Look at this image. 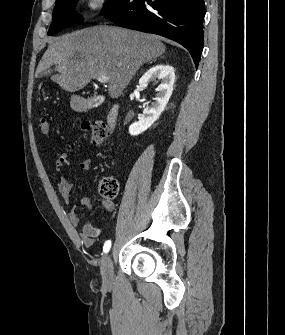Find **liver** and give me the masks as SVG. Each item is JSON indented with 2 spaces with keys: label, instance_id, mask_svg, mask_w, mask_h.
<instances>
[{
  "label": "liver",
  "instance_id": "1",
  "mask_svg": "<svg viewBox=\"0 0 285 335\" xmlns=\"http://www.w3.org/2000/svg\"><path fill=\"white\" fill-rule=\"evenodd\" d=\"M48 50L37 76L51 66L59 72L55 82L66 92H78L100 76H108L110 98H120L136 72L165 52L159 36L116 26H94L48 40Z\"/></svg>",
  "mask_w": 285,
  "mask_h": 335
}]
</instances>
